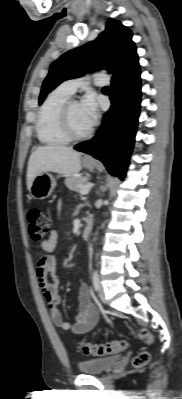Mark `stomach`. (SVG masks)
Segmentation results:
<instances>
[{"label": "stomach", "instance_id": "1", "mask_svg": "<svg viewBox=\"0 0 182 399\" xmlns=\"http://www.w3.org/2000/svg\"><path fill=\"white\" fill-rule=\"evenodd\" d=\"M84 167L87 169H94L95 161H83ZM56 187V179L53 175L48 172L37 175L31 185L30 194L35 199H46L48 198L54 188Z\"/></svg>", "mask_w": 182, "mask_h": 399}]
</instances>
